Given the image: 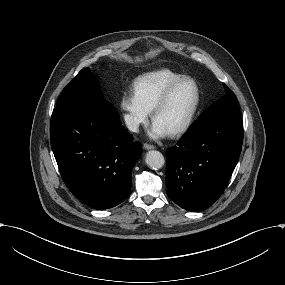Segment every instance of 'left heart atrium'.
I'll use <instances>...</instances> for the list:
<instances>
[{
    "mask_svg": "<svg viewBox=\"0 0 285 285\" xmlns=\"http://www.w3.org/2000/svg\"><path fill=\"white\" fill-rule=\"evenodd\" d=\"M169 131L158 121L154 120L149 131L148 135L152 139H161L168 135Z\"/></svg>",
    "mask_w": 285,
    "mask_h": 285,
    "instance_id": "39dd6f15",
    "label": "left heart atrium"
}]
</instances>
